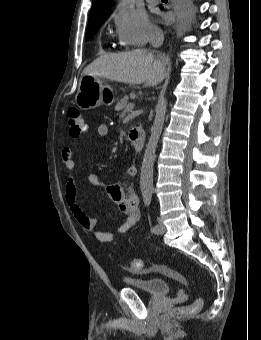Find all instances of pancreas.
I'll return each instance as SVG.
<instances>
[{
    "label": "pancreas",
    "instance_id": "obj_1",
    "mask_svg": "<svg viewBox=\"0 0 261 340\" xmlns=\"http://www.w3.org/2000/svg\"><path fill=\"white\" fill-rule=\"evenodd\" d=\"M128 96H124L123 98H121L116 106H115V110L116 111H121V110H127V106H128Z\"/></svg>",
    "mask_w": 261,
    "mask_h": 340
}]
</instances>
